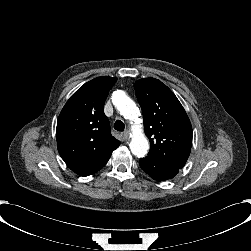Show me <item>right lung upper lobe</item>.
I'll return each mask as SVG.
<instances>
[{"label": "right lung upper lobe", "instance_id": "right-lung-upper-lobe-1", "mask_svg": "<svg viewBox=\"0 0 251 251\" xmlns=\"http://www.w3.org/2000/svg\"><path fill=\"white\" fill-rule=\"evenodd\" d=\"M116 81L102 76L85 83L70 97L58 117L59 154L80 176H89L103 168L120 145L111 135L104 114L105 99Z\"/></svg>", "mask_w": 251, "mask_h": 251}]
</instances>
